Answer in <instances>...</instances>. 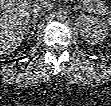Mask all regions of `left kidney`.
<instances>
[{"instance_id": "1", "label": "left kidney", "mask_w": 111, "mask_h": 106, "mask_svg": "<svg viewBox=\"0 0 111 106\" xmlns=\"http://www.w3.org/2000/svg\"><path fill=\"white\" fill-rule=\"evenodd\" d=\"M76 26L82 39L91 45L102 42L108 34L107 23L91 15H80Z\"/></svg>"}]
</instances>
